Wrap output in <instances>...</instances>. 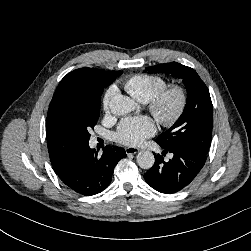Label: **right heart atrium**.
Listing matches in <instances>:
<instances>
[{"label": "right heart atrium", "instance_id": "right-heart-atrium-1", "mask_svg": "<svg viewBox=\"0 0 251 251\" xmlns=\"http://www.w3.org/2000/svg\"><path fill=\"white\" fill-rule=\"evenodd\" d=\"M117 95V89L115 87H110L103 99H102V108L105 112H108L109 111V108H110V104H111V101L113 100V98Z\"/></svg>", "mask_w": 251, "mask_h": 251}]
</instances>
